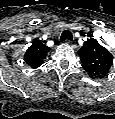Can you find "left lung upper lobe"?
I'll use <instances>...</instances> for the list:
<instances>
[{
    "label": "left lung upper lobe",
    "instance_id": "obj_1",
    "mask_svg": "<svg viewBox=\"0 0 115 119\" xmlns=\"http://www.w3.org/2000/svg\"><path fill=\"white\" fill-rule=\"evenodd\" d=\"M78 53L82 61V67L90 77H100L108 74L113 63V56L96 39H88Z\"/></svg>",
    "mask_w": 115,
    "mask_h": 119
}]
</instances>
